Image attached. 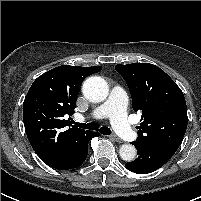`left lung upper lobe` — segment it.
<instances>
[{
  "label": "left lung upper lobe",
  "mask_w": 201,
  "mask_h": 201,
  "mask_svg": "<svg viewBox=\"0 0 201 201\" xmlns=\"http://www.w3.org/2000/svg\"><path fill=\"white\" fill-rule=\"evenodd\" d=\"M129 87L135 112H142L135 144L179 147L187 128V106L178 85L149 63L116 65Z\"/></svg>",
  "instance_id": "left-lung-upper-lobe-1"
}]
</instances>
